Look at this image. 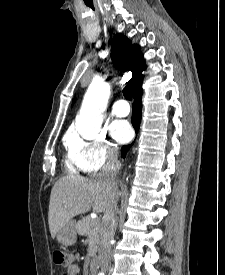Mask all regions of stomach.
I'll return each mask as SVG.
<instances>
[{
  "label": "stomach",
  "mask_w": 225,
  "mask_h": 275,
  "mask_svg": "<svg viewBox=\"0 0 225 275\" xmlns=\"http://www.w3.org/2000/svg\"><path fill=\"white\" fill-rule=\"evenodd\" d=\"M57 241L63 246H71L75 244L77 239V233L75 229V223L69 222L62 227L56 234Z\"/></svg>",
  "instance_id": "1"
}]
</instances>
